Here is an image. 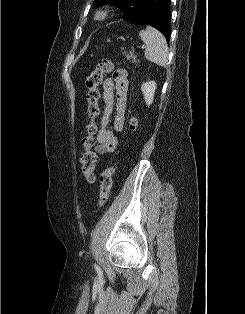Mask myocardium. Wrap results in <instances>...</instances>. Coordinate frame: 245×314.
Listing matches in <instances>:
<instances>
[{"label": "myocardium", "instance_id": "1", "mask_svg": "<svg viewBox=\"0 0 245 314\" xmlns=\"http://www.w3.org/2000/svg\"><path fill=\"white\" fill-rule=\"evenodd\" d=\"M110 14H111L110 7L104 6L96 11L94 18L97 21H104L110 16Z\"/></svg>", "mask_w": 245, "mask_h": 314}]
</instances>
